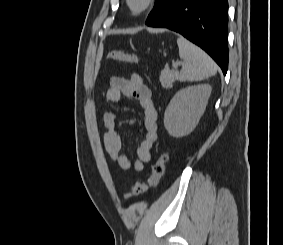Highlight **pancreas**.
Returning <instances> with one entry per match:
<instances>
[{
  "mask_svg": "<svg viewBox=\"0 0 283 245\" xmlns=\"http://www.w3.org/2000/svg\"><path fill=\"white\" fill-rule=\"evenodd\" d=\"M177 79H178V72L176 70L164 69L160 73L161 85L166 89L171 88L173 82Z\"/></svg>",
  "mask_w": 283,
  "mask_h": 245,
  "instance_id": "cf45deb5",
  "label": "pancreas"
}]
</instances>
